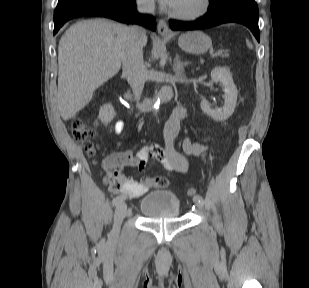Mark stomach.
I'll return each instance as SVG.
<instances>
[{
  "instance_id": "1",
  "label": "stomach",
  "mask_w": 309,
  "mask_h": 288,
  "mask_svg": "<svg viewBox=\"0 0 309 288\" xmlns=\"http://www.w3.org/2000/svg\"><path fill=\"white\" fill-rule=\"evenodd\" d=\"M179 47L189 53H205L212 45L210 37L201 31L182 34L178 39Z\"/></svg>"
}]
</instances>
